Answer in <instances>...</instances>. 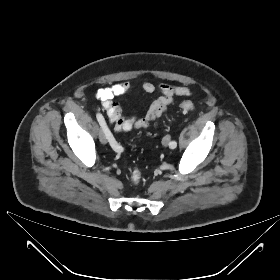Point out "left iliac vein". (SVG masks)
Masks as SVG:
<instances>
[{"instance_id":"4c4485c4","label":"left iliac vein","mask_w":280,"mask_h":280,"mask_svg":"<svg viewBox=\"0 0 280 280\" xmlns=\"http://www.w3.org/2000/svg\"><path fill=\"white\" fill-rule=\"evenodd\" d=\"M170 139H171V136L170 135H166L164 136L163 140H162V143L164 146H167L169 143H170Z\"/></svg>"}]
</instances>
